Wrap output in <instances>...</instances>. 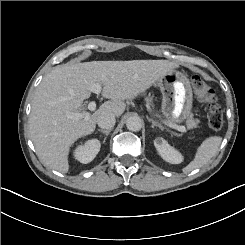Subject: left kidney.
Listing matches in <instances>:
<instances>
[{"mask_svg": "<svg viewBox=\"0 0 245 245\" xmlns=\"http://www.w3.org/2000/svg\"><path fill=\"white\" fill-rule=\"evenodd\" d=\"M154 146L160 157L170 164H180L184 162V155L178 149L171 146L168 141L162 137L154 140Z\"/></svg>", "mask_w": 245, "mask_h": 245, "instance_id": "obj_1", "label": "left kidney"}]
</instances>
